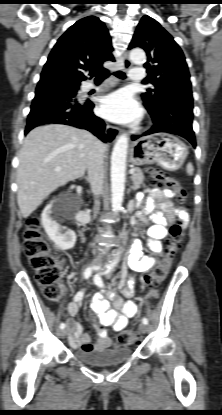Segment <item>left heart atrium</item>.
I'll use <instances>...</instances> for the list:
<instances>
[{
	"instance_id": "left-heart-atrium-1",
	"label": "left heart atrium",
	"mask_w": 222,
	"mask_h": 415,
	"mask_svg": "<svg viewBox=\"0 0 222 415\" xmlns=\"http://www.w3.org/2000/svg\"><path fill=\"white\" fill-rule=\"evenodd\" d=\"M103 117L118 123H132L140 116V107L128 90H118L106 96L100 106Z\"/></svg>"
}]
</instances>
